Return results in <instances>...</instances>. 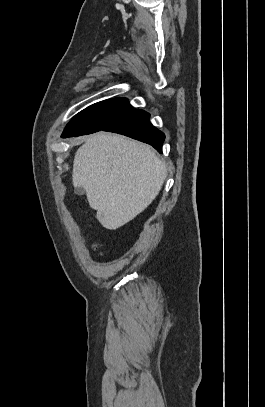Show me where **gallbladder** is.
I'll return each instance as SVG.
<instances>
[{"instance_id":"obj_1","label":"gallbladder","mask_w":265,"mask_h":407,"mask_svg":"<svg viewBox=\"0 0 265 407\" xmlns=\"http://www.w3.org/2000/svg\"><path fill=\"white\" fill-rule=\"evenodd\" d=\"M75 194L77 195H83L85 190L82 187H76L74 190Z\"/></svg>"}]
</instances>
